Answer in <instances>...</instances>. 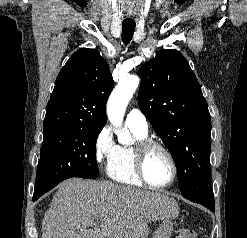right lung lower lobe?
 I'll list each match as a JSON object with an SVG mask.
<instances>
[{
  "instance_id": "obj_1",
  "label": "right lung lower lobe",
  "mask_w": 247,
  "mask_h": 238,
  "mask_svg": "<svg viewBox=\"0 0 247 238\" xmlns=\"http://www.w3.org/2000/svg\"><path fill=\"white\" fill-rule=\"evenodd\" d=\"M36 199H38V198L33 197V201H35Z\"/></svg>"
}]
</instances>
